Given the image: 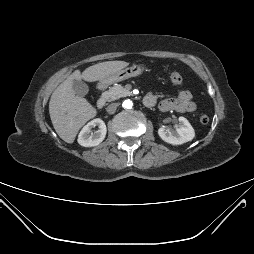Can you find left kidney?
Returning <instances> with one entry per match:
<instances>
[{"label": "left kidney", "instance_id": "obj_1", "mask_svg": "<svg viewBox=\"0 0 254 254\" xmlns=\"http://www.w3.org/2000/svg\"><path fill=\"white\" fill-rule=\"evenodd\" d=\"M179 128L168 129L162 126L158 129L160 138L172 145H181L191 141L195 137V132L189 121L185 117H179Z\"/></svg>", "mask_w": 254, "mask_h": 254}]
</instances>
